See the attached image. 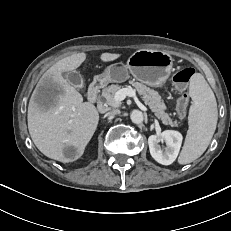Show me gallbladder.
<instances>
[{"mask_svg":"<svg viewBox=\"0 0 231 231\" xmlns=\"http://www.w3.org/2000/svg\"><path fill=\"white\" fill-rule=\"evenodd\" d=\"M66 79L74 87L82 88L83 86V78L77 71L68 72L66 74Z\"/></svg>","mask_w":231,"mask_h":231,"instance_id":"1","label":"gallbladder"}]
</instances>
